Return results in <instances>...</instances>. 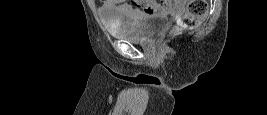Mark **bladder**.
I'll use <instances>...</instances> for the list:
<instances>
[{"label": "bladder", "instance_id": "bladder-1", "mask_svg": "<svg viewBox=\"0 0 267 115\" xmlns=\"http://www.w3.org/2000/svg\"><path fill=\"white\" fill-rule=\"evenodd\" d=\"M170 23V17L164 14H142L134 23L108 25L111 35L134 43L146 42L163 31Z\"/></svg>", "mask_w": 267, "mask_h": 115}]
</instances>
